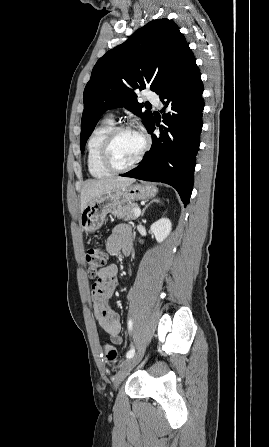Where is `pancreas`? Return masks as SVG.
Wrapping results in <instances>:
<instances>
[{"label":"pancreas","mask_w":269,"mask_h":447,"mask_svg":"<svg viewBox=\"0 0 269 447\" xmlns=\"http://www.w3.org/2000/svg\"><path fill=\"white\" fill-rule=\"evenodd\" d=\"M135 208H137V204H126V206H119L111 214L119 218V220H136V216H134Z\"/></svg>","instance_id":"obj_1"}]
</instances>
